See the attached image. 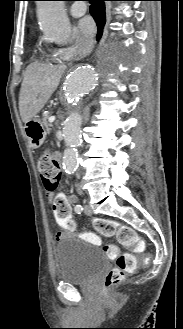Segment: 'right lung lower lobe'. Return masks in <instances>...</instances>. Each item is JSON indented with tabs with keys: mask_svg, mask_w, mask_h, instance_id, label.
Here are the masks:
<instances>
[{
	"mask_svg": "<svg viewBox=\"0 0 183 329\" xmlns=\"http://www.w3.org/2000/svg\"><path fill=\"white\" fill-rule=\"evenodd\" d=\"M104 1L105 0H90L91 6L89 10L98 27L97 39H100L102 36L103 28L106 22Z\"/></svg>",
	"mask_w": 183,
	"mask_h": 329,
	"instance_id": "obj_1",
	"label": "right lung lower lobe"
}]
</instances>
